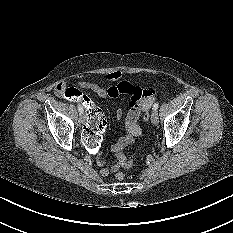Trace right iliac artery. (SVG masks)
I'll list each match as a JSON object with an SVG mask.
<instances>
[{"mask_svg":"<svg viewBox=\"0 0 233 233\" xmlns=\"http://www.w3.org/2000/svg\"><path fill=\"white\" fill-rule=\"evenodd\" d=\"M78 111H79L80 113H83V108L81 107V105H78Z\"/></svg>","mask_w":233,"mask_h":233,"instance_id":"right-iliac-artery-1","label":"right iliac artery"}]
</instances>
